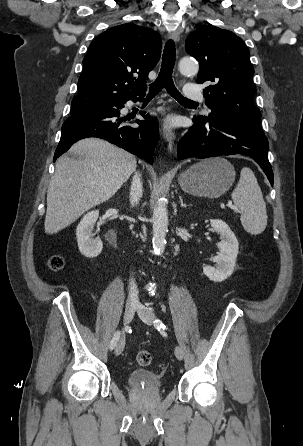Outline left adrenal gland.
Returning a JSON list of instances; mask_svg holds the SVG:
<instances>
[{
	"instance_id": "obj_1",
	"label": "left adrenal gland",
	"mask_w": 303,
	"mask_h": 446,
	"mask_svg": "<svg viewBox=\"0 0 303 446\" xmlns=\"http://www.w3.org/2000/svg\"><path fill=\"white\" fill-rule=\"evenodd\" d=\"M179 200H180V204H181V207H182V208H186L187 206H191V205H192V204H186V203H183V199H182L181 196H179Z\"/></svg>"
}]
</instances>
